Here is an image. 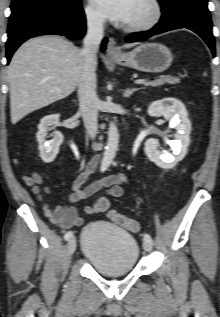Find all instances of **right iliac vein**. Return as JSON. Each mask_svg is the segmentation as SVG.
I'll return each mask as SVG.
<instances>
[{"instance_id":"1","label":"right iliac vein","mask_w":220,"mask_h":317,"mask_svg":"<svg viewBox=\"0 0 220 317\" xmlns=\"http://www.w3.org/2000/svg\"><path fill=\"white\" fill-rule=\"evenodd\" d=\"M76 246H77L76 238L73 237L68 241V244H67V252L69 255H72L75 252Z\"/></svg>"}]
</instances>
